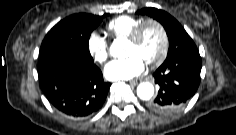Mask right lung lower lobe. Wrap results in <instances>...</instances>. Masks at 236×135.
Masks as SVG:
<instances>
[{
  "label": "right lung lower lobe",
  "mask_w": 236,
  "mask_h": 135,
  "mask_svg": "<svg viewBox=\"0 0 236 135\" xmlns=\"http://www.w3.org/2000/svg\"><path fill=\"white\" fill-rule=\"evenodd\" d=\"M39 84L48 101L63 114L87 117L103 105L110 83L85 55L70 52L38 63Z\"/></svg>",
  "instance_id": "1"
}]
</instances>
